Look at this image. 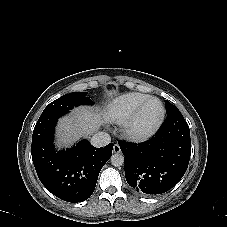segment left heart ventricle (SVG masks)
<instances>
[{
    "label": "left heart ventricle",
    "mask_w": 227,
    "mask_h": 227,
    "mask_svg": "<svg viewBox=\"0 0 227 227\" xmlns=\"http://www.w3.org/2000/svg\"><path fill=\"white\" fill-rule=\"evenodd\" d=\"M161 114V106L157 102H151L141 117V126L147 127L155 122Z\"/></svg>",
    "instance_id": "b2bd125f"
}]
</instances>
